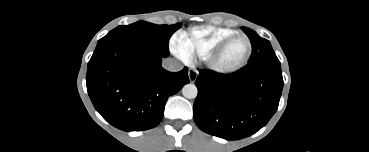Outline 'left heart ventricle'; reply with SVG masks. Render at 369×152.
<instances>
[{
	"label": "left heart ventricle",
	"mask_w": 369,
	"mask_h": 152,
	"mask_svg": "<svg viewBox=\"0 0 369 152\" xmlns=\"http://www.w3.org/2000/svg\"><path fill=\"white\" fill-rule=\"evenodd\" d=\"M248 44L243 38L232 41L219 58L222 66H232L240 62L247 53Z\"/></svg>",
	"instance_id": "b2bd125f"
}]
</instances>
